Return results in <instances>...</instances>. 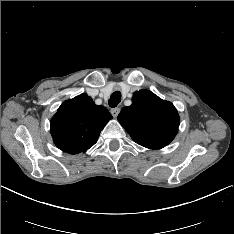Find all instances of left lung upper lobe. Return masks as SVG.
I'll return each mask as SVG.
<instances>
[{
  "instance_id": "5c2ea615",
  "label": "left lung upper lobe",
  "mask_w": 234,
  "mask_h": 234,
  "mask_svg": "<svg viewBox=\"0 0 234 234\" xmlns=\"http://www.w3.org/2000/svg\"><path fill=\"white\" fill-rule=\"evenodd\" d=\"M118 120L136 143L149 149L168 145L179 126L174 105L149 90L136 91L132 105L121 110Z\"/></svg>"
}]
</instances>
